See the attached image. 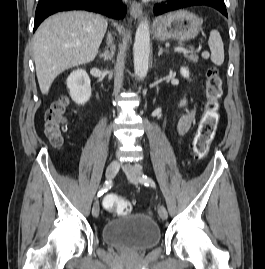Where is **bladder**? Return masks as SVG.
Wrapping results in <instances>:
<instances>
[{
  "label": "bladder",
  "instance_id": "bladder-1",
  "mask_svg": "<svg viewBox=\"0 0 265 269\" xmlns=\"http://www.w3.org/2000/svg\"><path fill=\"white\" fill-rule=\"evenodd\" d=\"M102 238L115 248L144 251L159 243L160 229L148 215L121 216L104 226Z\"/></svg>",
  "mask_w": 265,
  "mask_h": 269
}]
</instances>
